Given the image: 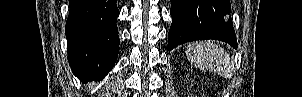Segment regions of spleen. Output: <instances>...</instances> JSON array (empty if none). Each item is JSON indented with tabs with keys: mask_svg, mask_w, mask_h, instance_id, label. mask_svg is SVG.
<instances>
[{
	"mask_svg": "<svg viewBox=\"0 0 302 97\" xmlns=\"http://www.w3.org/2000/svg\"><path fill=\"white\" fill-rule=\"evenodd\" d=\"M187 59L198 69L230 77L232 61L229 55L217 44L210 41H197L187 45Z\"/></svg>",
	"mask_w": 302,
	"mask_h": 97,
	"instance_id": "spleen-1",
	"label": "spleen"
}]
</instances>
